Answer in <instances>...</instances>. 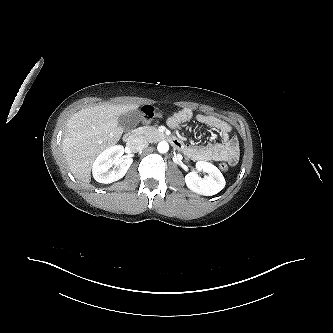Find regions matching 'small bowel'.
Wrapping results in <instances>:
<instances>
[{
  "instance_id": "1",
  "label": "small bowel",
  "mask_w": 333,
  "mask_h": 333,
  "mask_svg": "<svg viewBox=\"0 0 333 333\" xmlns=\"http://www.w3.org/2000/svg\"><path fill=\"white\" fill-rule=\"evenodd\" d=\"M195 119L220 135V142H209L202 146H186L183 144L181 150L193 161H227L231 165L235 164L239 155V142L236 136H231L233 127L227 121L209 114L194 115L189 108H184L175 112L167 120L170 128H176L180 124Z\"/></svg>"
}]
</instances>
